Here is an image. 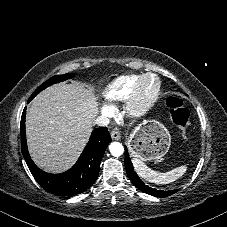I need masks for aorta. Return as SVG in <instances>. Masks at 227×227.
Masks as SVG:
<instances>
[{
	"label": "aorta",
	"instance_id": "obj_1",
	"mask_svg": "<svg viewBox=\"0 0 227 227\" xmlns=\"http://www.w3.org/2000/svg\"><path fill=\"white\" fill-rule=\"evenodd\" d=\"M109 150L110 153L117 157V156H121L124 153V147L121 143L119 142H113L109 145Z\"/></svg>",
	"mask_w": 227,
	"mask_h": 227
}]
</instances>
